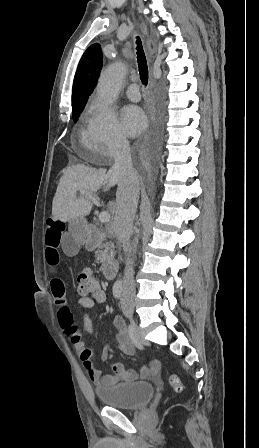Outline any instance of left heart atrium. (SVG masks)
Returning <instances> with one entry per match:
<instances>
[{"instance_id": "left-heart-atrium-1", "label": "left heart atrium", "mask_w": 259, "mask_h": 448, "mask_svg": "<svg viewBox=\"0 0 259 448\" xmlns=\"http://www.w3.org/2000/svg\"><path fill=\"white\" fill-rule=\"evenodd\" d=\"M121 126L129 136H137L146 127V118L142 109L136 105H128L121 112Z\"/></svg>"}]
</instances>
